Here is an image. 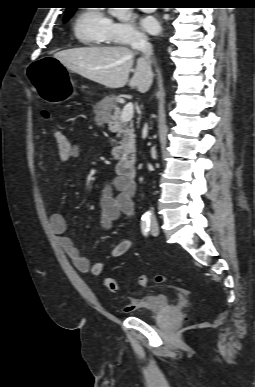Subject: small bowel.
Segmentation results:
<instances>
[{"label":"small bowel","instance_id":"small-bowel-1","mask_svg":"<svg viewBox=\"0 0 255 387\" xmlns=\"http://www.w3.org/2000/svg\"><path fill=\"white\" fill-rule=\"evenodd\" d=\"M80 153L81 147L76 143H71L70 151L67 154L60 155V159L69 161L79 157ZM132 195L133 184L118 177L114 178L110 184L104 187L99 208L101 224L105 230H111L114 222L122 214L128 216L134 214ZM50 226L73 266L82 273L89 272L93 275L101 274L105 261L123 256L133 246V241L130 239L119 240L103 253L102 261L91 263L87 257L81 255L76 245L66 235L67 222L62 214L57 212L52 213L50 216ZM138 302L139 300L132 299L126 307L127 311L133 310L138 305Z\"/></svg>","mask_w":255,"mask_h":387}]
</instances>
